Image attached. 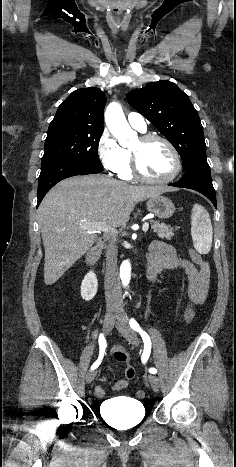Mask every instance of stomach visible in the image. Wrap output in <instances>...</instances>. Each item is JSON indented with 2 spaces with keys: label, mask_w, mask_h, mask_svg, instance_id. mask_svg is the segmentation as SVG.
<instances>
[{
  "label": "stomach",
  "mask_w": 236,
  "mask_h": 467,
  "mask_svg": "<svg viewBox=\"0 0 236 467\" xmlns=\"http://www.w3.org/2000/svg\"><path fill=\"white\" fill-rule=\"evenodd\" d=\"M147 209L155 214L158 218H170L175 211L173 202L164 196H155L149 198L146 202Z\"/></svg>",
  "instance_id": "0dacf381"
}]
</instances>
